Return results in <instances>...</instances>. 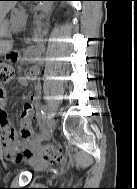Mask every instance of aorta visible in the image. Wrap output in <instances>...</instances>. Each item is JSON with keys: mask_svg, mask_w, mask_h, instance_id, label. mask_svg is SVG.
<instances>
[{"mask_svg": "<svg viewBox=\"0 0 137 189\" xmlns=\"http://www.w3.org/2000/svg\"><path fill=\"white\" fill-rule=\"evenodd\" d=\"M51 4H52L51 1H42L40 3V9H41V12H42V16H44L45 14L48 13V11L51 8Z\"/></svg>", "mask_w": 137, "mask_h": 189, "instance_id": "1", "label": "aorta"}]
</instances>
